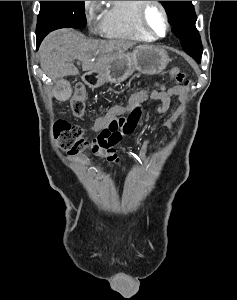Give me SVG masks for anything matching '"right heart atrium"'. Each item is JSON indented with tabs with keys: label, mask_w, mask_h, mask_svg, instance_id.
I'll use <instances>...</instances> for the list:
<instances>
[{
	"label": "right heart atrium",
	"mask_w": 237,
	"mask_h": 300,
	"mask_svg": "<svg viewBox=\"0 0 237 300\" xmlns=\"http://www.w3.org/2000/svg\"><path fill=\"white\" fill-rule=\"evenodd\" d=\"M83 10L90 25H99L102 17L100 1H83Z\"/></svg>",
	"instance_id": "1"
}]
</instances>
